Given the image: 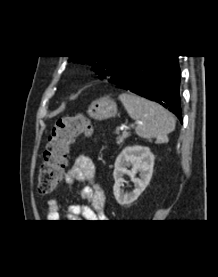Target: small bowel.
Returning a JSON list of instances; mask_svg holds the SVG:
<instances>
[{
  "label": "small bowel",
  "mask_w": 218,
  "mask_h": 277,
  "mask_svg": "<svg viewBox=\"0 0 218 277\" xmlns=\"http://www.w3.org/2000/svg\"><path fill=\"white\" fill-rule=\"evenodd\" d=\"M65 180L67 183L82 184L81 197L88 201V205H71L68 210V218L82 217L85 220H101L105 217V194L99 184L95 182V166L90 157L78 156L66 173ZM46 215L52 222H58L61 219L60 205L57 199L48 200Z\"/></svg>",
  "instance_id": "c3829d8e"
}]
</instances>
